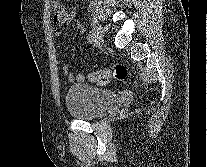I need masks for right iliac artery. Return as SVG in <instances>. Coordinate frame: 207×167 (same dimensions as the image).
I'll use <instances>...</instances> for the list:
<instances>
[{
	"instance_id": "1",
	"label": "right iliac artery",
	"mask_w": 207,
	"mask_h": 167,
	"mask_svg": "<svg viewBox=\"0 0 207 167\" xmlns=\"http://www.w3.org/2000/svg\"><path fill=\"white\" fill-rule=\"evenodd\" d=\"M88 41L90 43H93L95 42V33L93 30L89 31V34H88Z\"/></svg>"
}]
</instances>
